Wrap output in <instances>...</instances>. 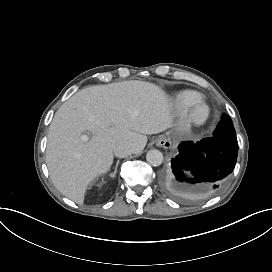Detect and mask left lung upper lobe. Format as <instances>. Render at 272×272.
<instances>
[{
  "mask_svg": "<svg viewBox=\"0 0 272 272\" xmlns=\"http://www.w3.org/2000/svg\"><path fill=\"white\" fill-rule=\"evenodd\" d=\"M213 137L237 143L233 122L226 113L221 116V121L218 123L216 129L214 130Z\"/></svg>",
  "mask_w": 272,
  "mask_h": 272,
  "instance_id": "left-lung-upper-lobe-1",
  "label": "left lung upper lobe"
}]
</instances>
